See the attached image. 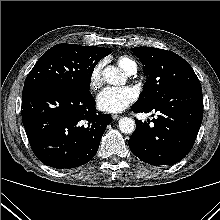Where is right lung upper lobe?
<instances>
[{
  "mask_svg": "<svg viewBox=\"0 0 220 220\" xmlns=\"http://www.w3.org/2000/svg\"><path fill=\"white\" fill-rule=\"evenodd\" d=\"M97 49L103 53L105 56L111 53V50L109 48H104V47H97Z\"/></svg>",
  "mask_w": 220,
  "mask_h": 220,
  "instance_id": "right-lung-upper-lobe-1",
  "label": "right lung upper lobe"
}]
</instances>
